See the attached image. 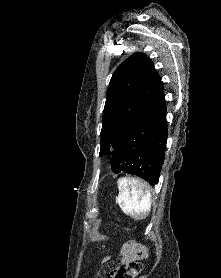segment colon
Returning <instances> with one entry per match:
<instances>
[{"mask_svg": "<svg viewBox=\"0 0 221 278\" xmlns=\"http://www.w3.org/2000/svg\"><path fill=\"white\" fill-rule=\"evenodd\" d=\"M145 268V256L130 261L116 273V278H133Z\"/></svg>", "mask_w": 221, "mask_h": 278, "instance_id": "5ec220e1", "label": "colon"}]
</instances>
